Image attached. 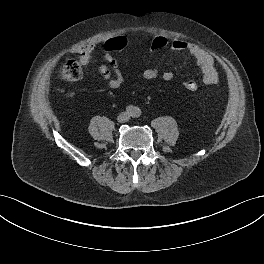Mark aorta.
<instances>
[{
    "label": "aorta",
    "instance_id": "1",
    "mask_svg": "<svg viewBox=\"0 0 264 264\" xmlns=\"http://www.w3.org/2000/svg\"><path fill=\"white\" fill-rule=\"evenodd\" d=\"M136 110L138 111V114H136V116L140 115V109L136 107Z\"/></svg>",
    "mask_w": 264,
    "mask_h": 264
}]
</instances>
